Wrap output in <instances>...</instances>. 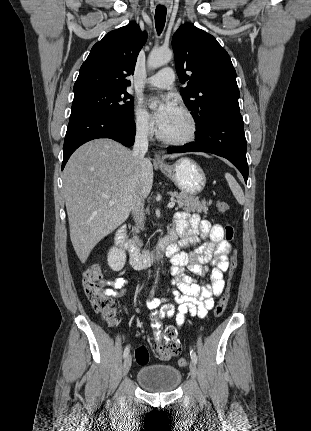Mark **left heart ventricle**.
I'll use <instances>...</instances> for the list:
<instances>
[{
  "label": "left heart ventricle",
  "instance_id": "left-heart-ventricle-1",
  "mask_svg": "<svg viewBox=\"0 0 311 431\" xmlns=\"http://www.w3.org/2000/svg\"><path fill=\"white\" fill-rule=\"evenodd\" d=\"M192 129L190 120L183 114L182 111L161 130L166 138L185 137L190 134Z\"/></svg>",
  "mask_w": 311,
  "mask_h": 431
}]
</instances>
